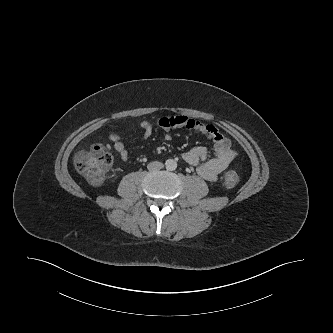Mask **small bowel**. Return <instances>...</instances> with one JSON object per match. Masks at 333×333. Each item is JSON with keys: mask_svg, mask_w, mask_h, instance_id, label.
Instances as JSON below:
<instances>
[{"mask_svg": "<svg viewBox=\"0 0 333 333\" xmlns=\"http://www.w3.org/2000/svg\"><path fill=\"white\" fill-rule=\"evenodd\" d=\"M158 126L164 131L176 128H186L198 131L213 141L214 156L209 158V151L204 146H196L183 154V159L190 165L197 166V173L207 181H216L219 174L222 173L237 156V152L231 147L230 141L224 137L213 125L204 124L196 119L179 115L173 117H162L158 120ZM139 131L142 139L147 140L152 134V126L144 121L139 125ZM113 148L120 160L129 161V154L121 135L117 132L110 135ZM170 140V135L165 136Z\"/></svg>", "mask_w": 333, "mask_h": 333, "instance_id": "obj_1", "label": "small bowel"}]
</instances>
